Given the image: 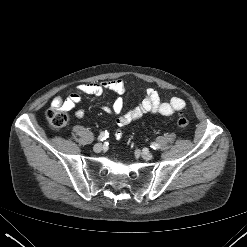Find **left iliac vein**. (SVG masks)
I'll return each mask as SVG.
<instances>
[{"instance_id": "4c4485c4", "label": "left iliac vein", "mask_w": 247, "mask_h": 247, "mask_svg": "<svg viewBox=\"0 0 247 247\" xmlns=\"http://www.w3.org/2000/svg\"><path fill=\"white\" fill-rule=\"evenodd\" d=\"M141 156L145 159V160H151L153 158L152 153H150L148 150H144L141 152Z\"/></svg>"}]
</instances>
